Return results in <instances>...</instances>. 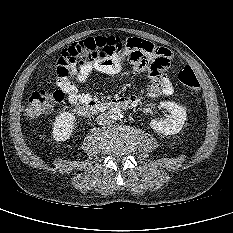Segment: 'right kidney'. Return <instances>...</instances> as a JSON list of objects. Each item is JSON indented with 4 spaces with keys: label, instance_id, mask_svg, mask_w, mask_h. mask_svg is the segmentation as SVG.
<instances>
[{
    "label": "right kidney",
    "instance_id": "obj_1",
    "mask_svg": "<svg viewBox=\"0 0 233 233\" xmlns=\"http://www.w3.org/2000/svg\"><path fill=\"white\" fill-rule=\"evenodd\" d=\"M75 116L71 112L61 113L54 122L52 135L55 141H66L72 135Z\"/></svg>",
    "mask_w": 233,
    "mask_h": 233
}]
</instances>
